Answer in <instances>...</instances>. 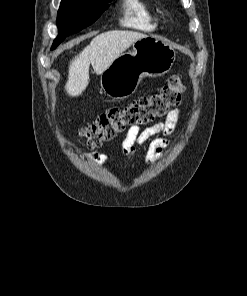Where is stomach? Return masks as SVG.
Masks as SVG:
<instances>
[{"label":"stomach","mask_w":247,"mask_h":296,"mask_svg":"<svg viewBox=\"0 0 247 296\" xmlns=\"http://www.w3.org/2000/svg\"><path fill=\"white\" fill-rule=\"evenodd\" d=\"M174 48L165 41L147 36L133 43V49L122 53L101 74L103 91L113 99H125L146 77L168 73L175 61Z\"/></svg>","instance_id":"1"}]
</instances>
